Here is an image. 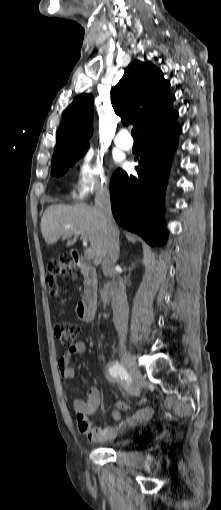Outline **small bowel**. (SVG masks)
<instances>
[{
    "label": "small bowel",
    "instance_id": "obj_1",
    "mask_svg": "<svg viewBox=\"0 0 221 510\" xmlns=\"http://www.w3.org/2000/svg\"><path fill=\"white\" fill-rule=\"evenodd\" d=\"M86 351V344L83 341L76 342L58 360L57 366L61 378L71 382L74 378L72 361L75 355L83 354ZM133 390L129 389V392ZM102 405V395L97 387H90L87 390L86 400L76 399L73 401V408L76 412L78 426L88 439L92 441H110L118 434L141 424L150 419L155 409L153 407L132 408V413L122 419L121 412L131 409L125 402L118 400L114 403L111 412V422L104 425H95L90 417L96 414Z\"/></svg>",
    "mask_w": 221,
    "mask_h": 510
}]
</instances>
